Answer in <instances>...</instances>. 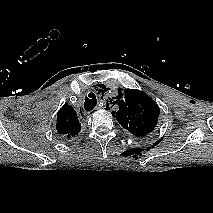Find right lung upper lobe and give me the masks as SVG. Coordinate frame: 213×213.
Masks as SVG:
<instances>
[{"instance_id":"right-lung-upper-lobe-1","label":"right lung upper lobe","mask_w":213,"mask_h":213,"mask_svg":"<svg viewBox=\"0 0 213 213\" xmlns=\"http://www.w3.org/2000/svg\"><path fill=\"white\" fill-rule=\"evenodd\" d=\"M56 130L62 138H70L80 132L81 124L72 106L65 104L57 112Z\"/></svg>"}]
</instances>
